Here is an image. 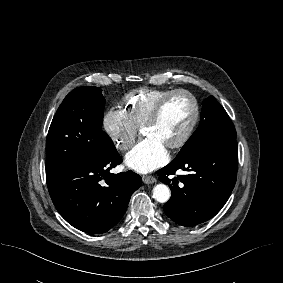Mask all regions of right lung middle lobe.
I'll return each mask as SVG.
<instances>
[{"instance_id": "obj_1", "label": "right lung middle lobe", "mask_w": 283, "mask_h": 283, "mask_svg": "<svg viewBox=\"0 0 283 283\" xmlns=\"http://www.w3.org/2000/svg\"><path fill=\"white\" fill-rule=\"evenodd\" d=\"M98 87L72 90L58 108L46 143V174L93 160L114 147L101 130L105 99Z\"/></svg>"}]
</instances>
